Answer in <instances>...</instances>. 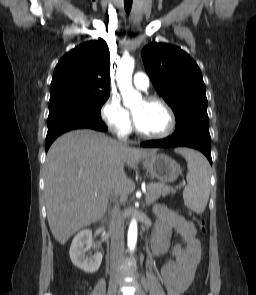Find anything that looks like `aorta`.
Here are the masks:
<instances>
[{
    "label": "aorta",
    "instance_id": "1",
    "mask_svg": "<svg viewBox=\"0 0 256 295\" xmlns=\"http://www.w3.org/2000/svg\"><path fill=\"white\" fill-rule=\"evenodd\" d=\"M134 65L135 61L132 57H124L121 59L116 72L117 85L122 96L123 104L126 107H130L142 100L141 94L132 85ZM137 235V221L133 218L130 222L127 236V245L131 252L135 250Z\"/></svg>",
    "mask_w": 256,
    "mask_h": 295
}]
</instances>
